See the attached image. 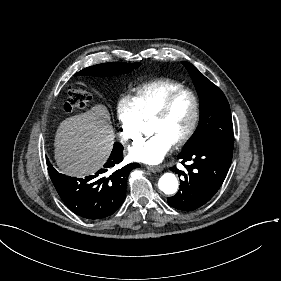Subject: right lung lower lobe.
Wrapping results in <instances>:
<instances>
[{"label": "right lung lower lobe", "instance_id": "98d812e1", "mask_svg": "<svg viewBox=\"0 0 281 281\" xmlns=\"http://www.w3.org/2000/svg\"><path fill=\"white\" fill-rule=\"evenodd\" d=\"M123 160V146L116 142L104 167L94 175L73 178L58 173L50 163L51 180L66 206L86 219H100L112 215L123 203L127 179L139 164H128L114 171ZM114 171V172H113Z\"/></svg>", "mask_w": 281, "mask_h": 281}]
</instances>
